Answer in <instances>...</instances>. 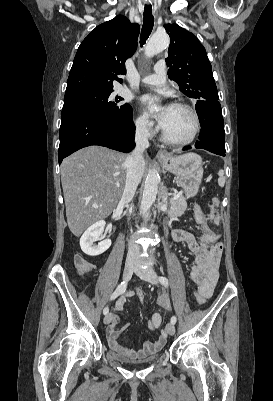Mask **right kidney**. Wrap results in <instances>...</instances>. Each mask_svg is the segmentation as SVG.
I'll list each match as a JSON object with an SVG mask.
<instances>
[{"label": "right kidney", "instance_id": "right-kidney-1", "mask_svg": "<svg viewBox=\"0 0 273 401\" xmlns=\"http://www.w3.org/2000/svg\"><path fill=\"white\" fill-rule=\"evenodd\" d=\"M105 225V221H97L83 233L80 239V247L83 253L90 255V257H97V255H102L111 247L110 239H105V241H100L98 245H94L95 241H98L100 235H102Z\"/></svg>", "mask_w": 273, "mask_h": 401}]
</instances>
